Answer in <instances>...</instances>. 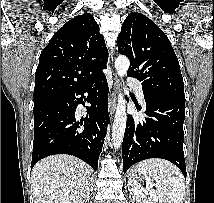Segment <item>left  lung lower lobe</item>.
I'll use <instances>...</instances> for the list:
<instances>
[{
    "mask_svg": "<svg viewBox=\"0 0 214 203\" xmlns=\"http://www.w3.org/2000/svg\"><path fill=\"white\" fill-rule=\"evenodd\" d=\"M147 115L142 121L128 116L122 143L124 173L133 164L162 158L175 164L186 177L183 152L185 101L166 96L144 95Z\"/></svg>",
    "mask_w": 214,
    "mask_h": 203,
    "instance_id": "obj_1",
    "label": "left lung lower lobe"
}]
</instances>
